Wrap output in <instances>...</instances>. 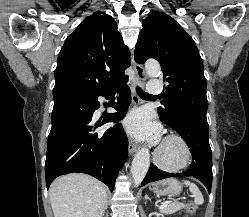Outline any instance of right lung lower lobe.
Here are the masks:
<instances>
[{
	"label": "right lung lower lobe",
	"instance_id": "right-lung-lower-lobe-1",
	"mask_svg": "<svg viewBox=\"0 0 249 217\" xmlns=\"http://www.w3.org/2000/svg\"><path fill=\"white\" fill-rule=\"evenodd\" d=\"M126 82L127 78L93 92L73 89L53 91L52 127L45 162L47 188L60 175L80 172L99 179L113 191L118 171L128 155V139L121 124L105 132L97 133L95 130L126 115L131 101ZM118 87L120 96L113 105L117 113L107 114L102 122L94 123L93 113L100 107L98 97L109 99Z\"/></svg>",
	"mask_w": 249,
	"mask_h": 217
}]
</instances>
